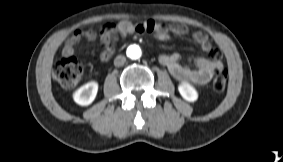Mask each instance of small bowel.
I'll return each mask as SVG.
<instances>
[{
  "instance_id": "small-bowel-1",
  "label": "small bowel",
  "mask_w": 283,
  "mask_h": 162,
  "mask_svg": "<svg viewBox=\"0 0 283 162\" xmlns=\"http://www.w3.org/2000/svg\"><path fill=\"white\" fill-rule=\"evenodd\" d=\"M135 33H150L161 41L169 40L171 34L178 36H186L190 34L188 27L182 24H164L154 20L134 23L129 20H122L100 33L99 39L103 45V50L100 54L101 60L106 62L111 58L114 52L113 41H115L119 35L125 37ZM97 36V33L92 29L75 31L66 41L63 47V55L71 56L74 53L75 45L82 39L94 41ZM191 37L204 52L209 54V57L196 58L194 60L195 66L190 67L180 63V53L162 54L159 56V63L165 66L170 74L180 82L205 85L211 80L214 72L223 67L220 60L221 53L217 49H212L206 33L195 31L191 33Z\"/></svg>"
}]
</instances>
